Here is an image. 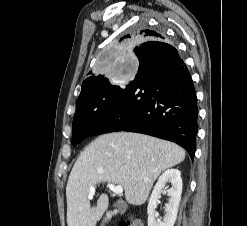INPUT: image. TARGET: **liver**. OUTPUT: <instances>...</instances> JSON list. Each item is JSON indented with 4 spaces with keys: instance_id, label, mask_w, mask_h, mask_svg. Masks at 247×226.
<instances>
[{
    "instance_id": "6515ba94",
    "label": "liver",
    "mask_w": 247,
    "mask_h": 226,
    "mask_svg": "<svg viewBox=\"0 0 247 226\" xmlns=\"http://www.w3.org/2000/svg\"><path fill=\"white\" fill-rule=\"evenodd\" d=\"M184 159L180 146L148 135L114 132L99 136L80 154L69 175L67 225L96 226L107 210L106 194L100 195L96 206H90L91 186L120 185L129 204L142 205L160 173Z\"/></svg>"
}]
</instances>
